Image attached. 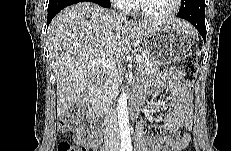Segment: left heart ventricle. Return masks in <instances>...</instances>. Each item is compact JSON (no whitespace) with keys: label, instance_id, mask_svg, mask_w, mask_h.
<instances>
[{"label":"left heart ventricle","instance_id":"obj_1","mask_svg":"<svg viewBox=\"0 0 231 151\" xmlns=\"http://www.w3.org/2000/svg\"><path fill=\"white\" fill-rule=\"evenodd\" d=\"M140 2L144 12L161 15L172 9L173 0H141Z\"/></svg>","mask_w":231,"mask_h":151}]
</instances>
